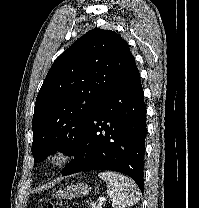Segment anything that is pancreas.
Returning a JSON list of instances; mask_svg holds the SVG:
<instances>
[{"label": "pancreas", "instance_id": "obj_1", "mask_svg": "<svg viewBox=\"0 0 199 208\" xmlns=\"http://www.w3.org/2000/svg\"><path fill=\"white\" fill-rule=\"evenodd\" d=\"M89 208H102L100 205H96L95 203H91Z\"/></svg>", "mask_w": 199, "mask_h": 208}]
</instances>
